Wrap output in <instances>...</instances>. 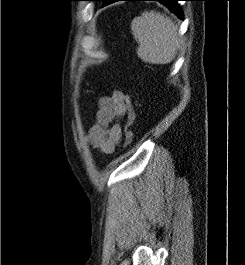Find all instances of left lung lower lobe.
Wrapping results in <instances>:
<instances>
[{"label":"left lung lower lobe","instance_id":"0a47b994","mask_svg":"<svg viewBox=\"0 0 245 265\" xmlns=\"http://www.w3.org/2000/svg\"><path fill=\"white\" fill-rule=\"evenodd\" d=\"M116 1H159L171 9L180 18H183L181 7L177 4L178 1L182 0H105L102 4V7Z\"/></svg>","mask_w":245,"mask_h":265}]
</instances>
